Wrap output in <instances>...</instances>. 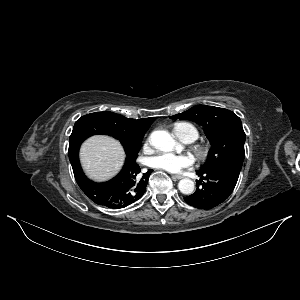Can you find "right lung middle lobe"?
I'll list each match as a JSON object with an SVG mask.
<instances>
[{
	"mask_svg": "<svg viewBox=\"0 0 300 300\" xmlns=\"http://www.w3.org/2000/svg\"><path fill=\"white\" fill-rule=\"evenodd\" d=\"M95 134H106L120 140L125 149L126 155L135 159L137 158L143 137L131 140L123 139L120 135L113 131L112 124L103 118L100 112H95L82 116L75 122L69 139V159L78 155L81 143L86 138Z\"/></svg>",
	"mask_w": 300,
	"mask_h": 300,
	"instance_id": "obj_1",
	"label": "right lung middle lobe"
}]
</instances>
